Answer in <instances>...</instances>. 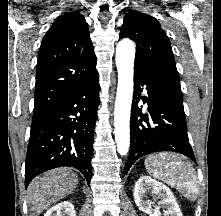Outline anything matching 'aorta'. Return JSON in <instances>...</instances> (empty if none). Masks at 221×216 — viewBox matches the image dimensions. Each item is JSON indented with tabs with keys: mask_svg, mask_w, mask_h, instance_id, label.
Returning <instances> with one entry per match:
<instances>
[{
	"mask_svg": "<svg viewBox=\"0 0 221 216\" xmlns=\"http://www.w3.org/2000/svg\"><path fill=\"white\" fill-rule=\"evenodd\" d=\"M135 44L121 40L116 47L118 86L114 111L115 141L120 155H126L130 146V112L133 96V68Z\"/></svg>",
	"mask_w": 221,
	"mask_h": 216,
	"instance_id": "obj_1",
	"label": "aorta"
}]
</instances>
